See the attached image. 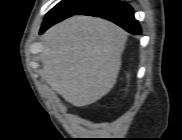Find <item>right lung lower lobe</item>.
<instances>
[{"instance_id":"98d812e1","label":"right lung lower lobe","mask_w":182,"mask_h":140,"mask_svg":"<svg viewBox=\"0 0 182 140\" xmlns=\"http://www.w3.org/2000/svg\"><path fill=\"white\" fill-rule=\"evenodd\" d=\"M74 15L101 17L116 23L132 34L141 33L140 26L134 18L132 7L121 0H95ZM49 27L41 28L40 33H43Z\"/></svg>"}]
</instances>
